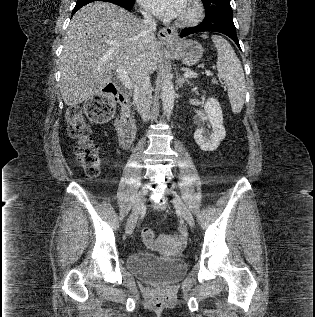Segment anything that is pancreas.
Returning a JSON list of instances; mask_svg holds the SVG:
<instances>
[{
    "label": "pancreas",
    "mask_w": 315,
    "mask_h": 317,
    "mask_svg": "<svg viewBox=\"0 0 315 317\" xmlns=\"http://www.w3.org/2000/svg\"><path fill=\"white\" fill-rule=\"evenodd\" d=\"M213 82H214V83H216V80H215V79H213Z\"/></svg>",
    "instance_id": "obj_1"
}]
</instances>
